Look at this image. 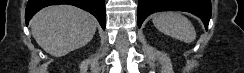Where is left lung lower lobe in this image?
<instances>
[{
    "instance_id": "left-lung-lower-lobe-1",
    "label": "left lung lower lobe",
    "mask_w": 244,
    "mask_h": 73,
    "mask_svg": "<svg viewBox=\"0 0 244 73\" xmlns=\"http://www.w3.org/2000/svg\"><path fill=\"white\" fill-rule=\"evenodd\" d=\"M169 10L190 12L201 18L207 28L212 8L210 0H138V27L150 14Z\"/></svg>"
}]
</instances>
